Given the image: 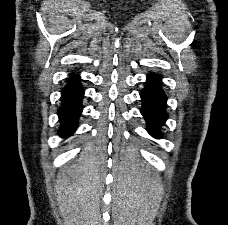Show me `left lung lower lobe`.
Wrapping results in <instances>:
<instances>
[{
    "label": "left lung lower lobe",
    "instance_id": "obj_1",
    "mask_svg": "<svg viewBox=\"0 0 228 225\" xmlns=\"http://www.w3.org/2000/svg\"><path fill=\"white\" fill-rule=\"evenodd\" d=\"M140 96L143 103L141 114L147 122V130L153 137L159 138L161 137L160 127L168 117L165 111L167 98L161 87V77L148 74Z\"/></svg>",
    "mask_w": 228,
    "mask_h": 225
}]
</instances>
